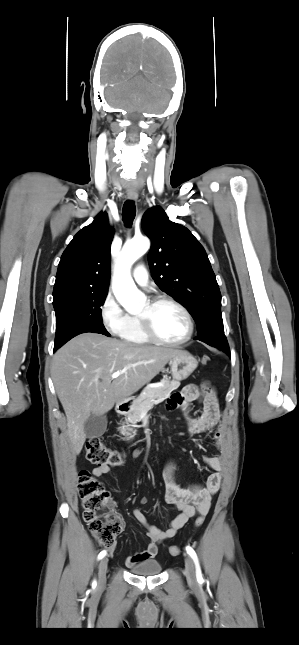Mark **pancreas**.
Wrapping results in <instances>:
<instances>
[{
  "label": "pancreas",
  "mask_w": 299,
  "mask_h": 645,
  "mask_svg": "<svg viewBox=\"0 0 299 645\" xmlns=\"http://www.w3.org/2000/svg\"><path fill=\"white\" fill-rule=\"evenodd\" d=\"M159 387L147 386L133 402L131 411L128 413L125 422L119 428L120 433L125 436L126 441L134 438L133 424L140 422L142 414L148 412L154 404L160 403L170 396L171 392L180 386L176 380H161ZM133 433V434H132Z\"/></svg>",
  "instance_id": "1"
}]
</instances>
